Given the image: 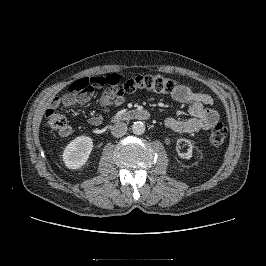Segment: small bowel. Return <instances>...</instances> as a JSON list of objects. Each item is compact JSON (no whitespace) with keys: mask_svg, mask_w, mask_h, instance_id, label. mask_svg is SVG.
<instances>
[{"mask_svg":"<svg viewBox=\"0 0 266 266\" xmlns=\"http://www.w3.org/2000/svg\"><path fill=\"white\" fill-rule=\"evenodd\" d=\"M175 101L189 104L188 119H176L169 117L165 121L167 128L180 133H194L201 130H209L219 120L218 112L213 108V99L210 95L186 85H178L172 94ZM92 98V93L68 94L54 100V104L66 108L74 104H85ZM123 98L116 96L111 90H105L100 97V105L104 112H108L113 106L121 104ZM103 121L101 114H94L89 118L92 126H99Z\"/></svg>","mask_w":266,"mask_h":266,"instance_id":"obj_1","label":"small bowel"}]
</instances>
